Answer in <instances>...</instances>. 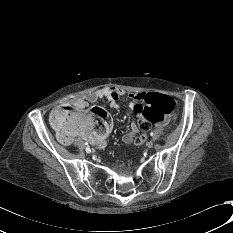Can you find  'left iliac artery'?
Instances as JSON below:
<instances>
[{"label": "left iliac artery", "mask_w": 233, "mask_h": 233, "mask_svg": "<svg viewBox=\"0 0 233 233\" xmlns=\"http://www.w3.org/2000/svg\"><path fill=\"white\" fill-rule=\"evenodd\" d=\"M150 135L153 136V132H151Z\"/></svg>", "instance_id": "44dca946"}]
</instances>
